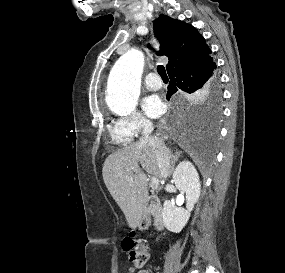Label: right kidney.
I'll list each match as a JSON object with an SVG mask.
<instances>
[{
	"instance_id": "obj_1",
	"label": "right kidney",
	"mask_w": 285,
	"mask_h": 273,
	"mask_svg": "<svg viewBox=\"0 0 285 273\" xmlns=\"http://www.w3.org/2000/svg\"><path fill=\"white\" fill-rule=\"evenodd\" d=\"M173 180L177 189L186 194V209L177 207L173 201L166 200L162 217L169 231L179 233L188 222L191 211L200 197L201 183L195 167L186 160L177 166Z\"/></svg>"
}]
</instances>
